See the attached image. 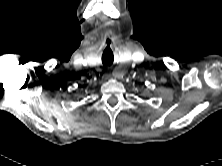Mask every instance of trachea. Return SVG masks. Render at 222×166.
<instances>
[{
    "mask_svg": "<svg viewBox=\"0 0 222 166\" xmlns=\"http://www.w3.org/2000/svg\"><path fill=\"white\" fill-rule=\"evenodd\" d=\"M102 61H103L104 65H111L112 62H113V54L111 53V57L110 58L103 57Z\"/></svg>",
    "mask_w": 222,
    "mask_h": 166,
    "instance_id": "trachea-1",
    "label": "trachea"
}]
</instances>
